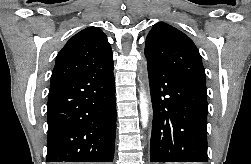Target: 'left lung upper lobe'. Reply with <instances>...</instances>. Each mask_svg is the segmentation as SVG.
I'll return each mask as SVG.
<instances>
[{
    "label": "left lung upper lobe",
    "instance_id": "1",
    "mask_svg": "<svg viewBox=\"0 0 251 164\" xmlns=\"http://www.w3.org/2000/svg\"><path fill=\"white\" fill-rule=\"evenodd\" d=\"M147 63L178 71L206 83L201 56L192 40L166 23H157L145 44Z\"/></svg>",
    "mask_w": 251,
    "mask_h": 164
}]
</instances>
